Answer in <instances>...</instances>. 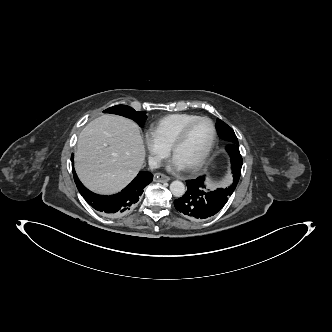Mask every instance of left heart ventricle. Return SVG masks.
<instances>
[{"label":"left heart ventricle","instance_id":"b2bd125f","mask_svg":"<svg viewBox=\"0 0 332 332\" xmlns=\"http://www.w3.org/2000/svg\"><path fill=\"white\" fill-rule=\"evenodd\" d=\"M212 138V127L207 121L197 122L188 132L184 142L176 149L174 157L184 166L195 163L205 152Z\"/></svg>","mask_w":332,"mask_h":332}]
</instances>
